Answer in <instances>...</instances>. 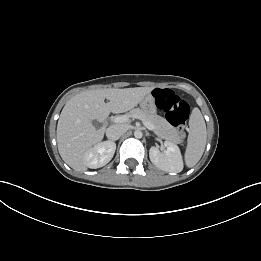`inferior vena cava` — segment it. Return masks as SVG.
Returning <instances> with one entry per match:
<instances>
[{
    "mask_svg": "<svg viewBox=\"0 0 261 261\" xmlns=\"http://www.w3.org/2000/svg\"><path fill=\"white\" fill-rule=\"evenodd\" d=\"M127 127L124 125H111L106 130V136L109 140H118L125 132Z\"/></svg>",
    "mask_w": 261,
    "mask_h": 261,
    "instance_id": "obj_1",
    "label": "inferior vena cava"
}]
</instances>
